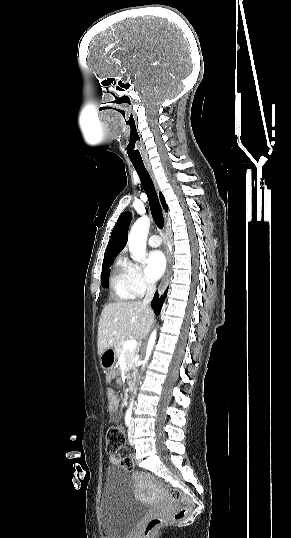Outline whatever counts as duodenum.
Here are the masks:
<instances>
[{"instance_id": "1", "label": "duodenum", "mask_w": 291, "mask_h": 538, "mask_svg": "<svg viewBox=\"0 0 291 538\" xmlns=\"http://www.w3.org/2000/svg\"><path fill=\"white\" fill-rule=\"evenodd\" d=\"M132 377H133V374L131 372H128L126 374L125 383H124L125 388H127V389L134 388L135 383H134V381H132Z\"/></svg>"}]
</instances>
